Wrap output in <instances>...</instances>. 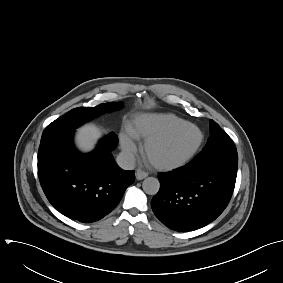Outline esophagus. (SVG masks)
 Returning <instances> with one entry per match:
<instances>
[{
	"instance_id": "esophagus-1",
	"label": "esophagus",
	"mask_w": 283,
	"mask_h": 283,
	"mask_svg": "<svg viewBox=\"0 0 283 283\" xmlns=\"http://www.w3.org/2000/svg\"><path fill=\"white\" fill-rule=\"evenodd\" d=\"M135 176L137 180H142L148 176V173L138 169L135 171Z\"/></svg>"
}]
</instances>
